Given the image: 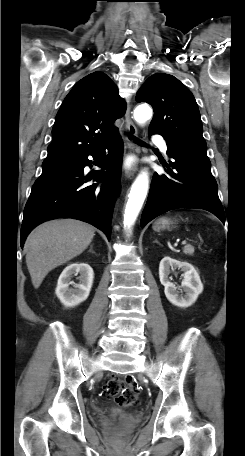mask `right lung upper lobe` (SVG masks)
<instances>
[{
	"label": "right lung upper lobe",
	"mask_w": 245,
	"mask_h": 456,
	"mask_svg": "<svg viewBox=\"0 0 245 456\" xmlns=\"http://www.w3.org/2000/svg\"><path fill=\"white\" fill-rule=\"evenodd\" d=\"M125 111V101L105 73L94 72L78 81L57 113L43 170L63 167L116 135L113 123Z\"/></svg>",
	"instance_id": "cb5924a9"
}]
</instances>
